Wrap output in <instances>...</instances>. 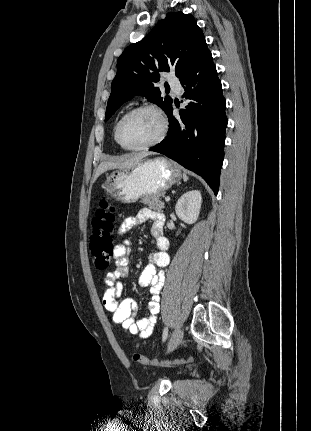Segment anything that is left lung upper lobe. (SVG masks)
Segmentation results:
<instances>
[{
  "label": "left lung upper lobe",
  "mask_w": 311,
  "mask_h": 431,
  "mask_svg": "<svg viewBox=\"0 0 311 431\" xmlns=\"http://www.w3.org/2000/svg\"><path fill=\"white\" fill-rule=\"evenodd\" d=\"M206 50L203 32L192 15L168 13L144 39L127 47L118 58L105 121L134 95L148 97L168 113L172 99L161 97L155 86L159 72L175 70L180 79Z\"/></svg>",
  "instance_id": "left-lung-upper-lobe-1"
}]
</instances>
